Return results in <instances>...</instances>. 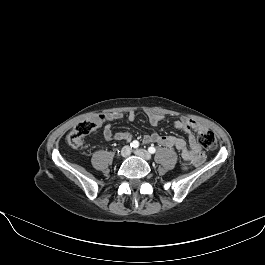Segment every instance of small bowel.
<instances>
[{"label": "small bowel", "mask_w": 265, "mask_h": 265, "mask_svg": "<svg viewBox=\"0 0 265 265\" xmlns=\"http://www.w3.org/2000/svg\"><path fill=\"white\" fill-rule=\"evenodd\" d=\"M149 122L152 126L156 127L164 121V116L160 113L153 112L151 110L145 111ZM122 114L119 112L109 113L107 119L110 121L118 120L122 118ZM136 113L129 111L127 117L128 120L133 121ZM173 127L184 132L188 136V142L183 138L171 135H160L157 132L147 134L143 138L144 143H156L162 147L173 148L180 152L183 159L182 167L189 169L191 166H197L203 163L205 155L201 150L200 144L196 139L195 133L206 131V126L194 119L182 117L173 123ZM103 137L106 141L111 140H125L131 141L132 134L127 131H121L117 133L112 132L110 124H106L103 128Z\"/></svg>", "instance_id": "c3829d8e"}]
</instances>
